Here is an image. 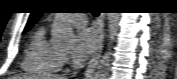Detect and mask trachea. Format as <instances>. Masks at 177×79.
Instances as JSON below:
<instances>
[{
  "mask_svg": "<svg viewBox=\"0 0 177 79\" xmlns=\"http://www.w3.org/2000/svg\"><path fill=\"white\" fill-rule=\"evenodd\" d=\"M93 15H94L95 17L98 16V14H95V13H94Z\"/></svg>",
  "mask_w": 177,
  "mask_h": 79,
  "instance_id": "3493384b",
  "label": "trachea"
}]
</instances>
